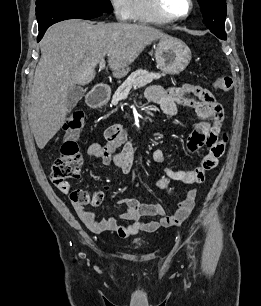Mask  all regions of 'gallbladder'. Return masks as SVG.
Instances as JSON below:
<instances>
[{
	"mask_svg": "<svg viewBox=\"0 0 261 306\" xmlns=\"http://www.w3.org/2000/svg\"><path fill=\"white\" fill-rule=\"evenodd\" d=\"M84 95H85V90L82 87L79 86L72 87L66 97V104L69 110L75 107L77 103L84 97Z\"/></svg>",
	"mask_w": 261,
	"mask_h": 306,
	"instance_id": "1",
	"label": "gallbladder"
}]
</instances>
